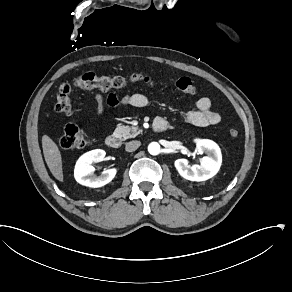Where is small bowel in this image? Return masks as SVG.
I'll return each mask as SVG.
<instances>
[{"label":"small bowel","instance_id":"c3829d8e","mask_svg":"<svg viewBox=\"0 0 292 292\" xmlns=\"http://www.w3.org/2000/svg\"><path fill=\"white\" fill-rule=\"evenodd\" d=\"M95 109L91 115L94 120H99L103 116L106 107L118 108L119 106H132L143 108L148 105V98L141 93L126 94L119 97L115 92H109L104 95L96 91L93 95ZM188 123L196 126L216 125L221 121V115L212 109V102L209 98L203 97L198 100L196 109L188 111L185 114Z\"/></svg>","mask_w":292,"mask_h":292}]
</instances>
